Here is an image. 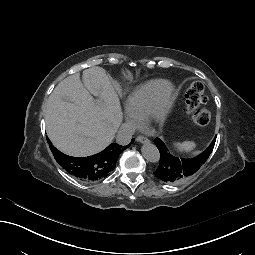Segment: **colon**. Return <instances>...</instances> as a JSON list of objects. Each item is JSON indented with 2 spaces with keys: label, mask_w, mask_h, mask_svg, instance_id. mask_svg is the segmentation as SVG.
Here are the masks:
<instances>
[{
  "label": "colon",
  "mask_w": 255,
  "mask_h": 255,
  "mask_svg": "<svg viewBox=\"0 0 255 255\" xmlns=\"http://www.w3.org/2000/svg\"><path fill=\"white\" fill-rule=\"evenodd\" d=\"M205 101L203 83L200 81L192 82L185 94L186 110L193 121L200 126L207 125L211 119L210 111L202 106Z\"/></svg>",
  "instance_id": "colon-1"
}]
</instances>
